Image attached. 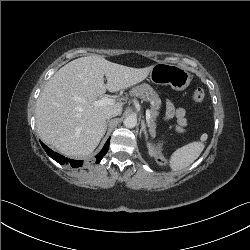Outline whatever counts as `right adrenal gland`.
<instances>
[{
    "label": "right adrenal gland",
    "instance_id": "right-adrenal-gland-1",
    "mask_svg": "<svg viewBox=\"0 0 250 250\" xmlns=\"http://www.w3.org/2000/svg\"><path fill=\"white\" fill-rule=\"evenodd\" d=\"M109 120H107L106 124H105V132L107 130V126H108Z\"/></svg>",
    "mask_w": 250,
    "mask_h": 250
}]
</instances>
